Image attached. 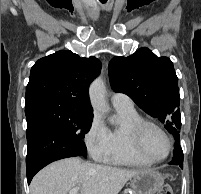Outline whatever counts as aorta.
<instances>
[{
	"mask_svg": "<svg viewBox=\"0 0 201 194\" xmlns=\"http://www.w3.org/2000/svg\"><path fill=\"white\" fill-rule=\"evenodd\" d=\"M105 84L103 80L98 77L96 78L89 89L90 101L93 109L97 112L106 113L109 108L105 99Z\"/></svg>",
	"mask_w": 201,
	"mask_h": 194,
	"instance_id": "aorta-1",
	"label": "aorta"
}]
</instances>
